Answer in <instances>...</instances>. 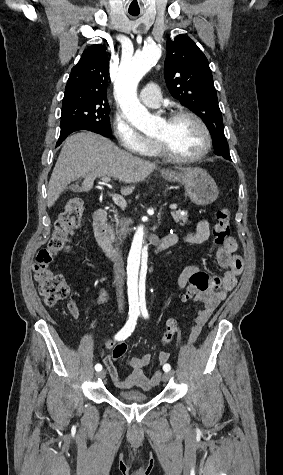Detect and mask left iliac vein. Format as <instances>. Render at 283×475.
<instances>
[{"label":"left iliac vein","instance_id":"1","mask_svg":"<svg viewBox=\"0 0 283 475\" xmlns=\"http://www.w3.org/2000/svg\"><path fill=\"white\" fill-rule=\"evenodd\" d=\"M172 374H173L172 372H170V373H164V374L162 375L163 381L167 382V381L172 377Z\"/></svg>","mask_w":283,"mask_h":475}]
</instances>
